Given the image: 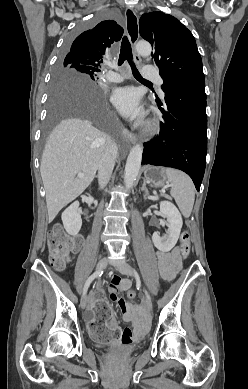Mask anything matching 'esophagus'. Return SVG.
<instances>
[{
    "label": "esophagus",
    "mask_w": 248,
    "mask_h": 389,
    "mask_svg": "<svg viewBox=\"0 0 248 389\" xmlns=\"http://www.w3.org/2000/svg\"><path fill=\"white\" fill-rule=\"evenodd\" d=\"M126 18V32L129 37L130 43L134 48L135 44L139 39V24L138 18L134 10L131 7H127L125 10ZM135 60L139 62L141 59L138 54L135 53ZM125 138L131 143L134 144L137 141V138L134 133L130 132L128 129L123 130Z\"/></svg>",
    "instance_id": "34e87169"
}]
</instances>
